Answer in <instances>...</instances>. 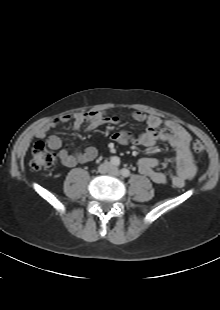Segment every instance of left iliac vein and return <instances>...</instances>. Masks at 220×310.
Segmentation results:
<instances>
[{
    "mask_svg": "<svg viewBox=\"0 0 220 310\" xmlns=\"http://www.w3.org/2000/svg\"><path fill=\"white\" fill-rule=\"evenodd\" d=\"M110 173H111L113 176H119V174H120L119 170H118L117 168H115V167H112V168L110 169Z\"/></svg>",
    "mask_w": 220,
    "mask_h": 310,
    "instance_id": "4c4485c4",
    "label": "left iliac vein"
}]
</instances>
